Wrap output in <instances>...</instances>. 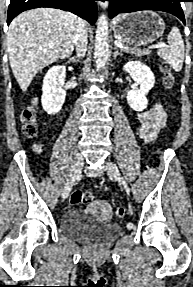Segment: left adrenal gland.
<instances>
[{"mask_svg": "<svg viewBox=\"0 0 193 287\" xmlns=\"http://www.w3.org/2000/svg\"><path fill=\"white\" fill-rule=\"evenodd\" d=\"M118 55H122V53L119 52V50L115 47L114 53H113V58L116 59V57H117Z\"/></svg>", "mask_w": 193, "mask_h": 287, "instance_id": "left-adrenal-gland-1", "label": "left adrenal gland"}]
</instances>
